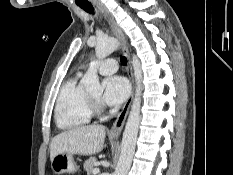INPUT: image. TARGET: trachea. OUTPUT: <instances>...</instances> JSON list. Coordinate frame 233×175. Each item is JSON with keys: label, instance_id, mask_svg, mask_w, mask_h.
Segmentation results:
<instances>
[{"label": "trachea", "instance_id": "trachea-1", "mask_svg": "<svg viewBox=\"0 0 233 175\" xmlns=\"http://www.w3.org/2000/svg\"><path fill=\"white\" fill-rule=\"evenodd\" d=\"M79 7L82 8L83 10H85L86 12L90 13V14L94 13V8H93V6L90 3H88V4H81V5H79ZM120 61H121V63L123 65L127 64V58L125 56H123L120 59Z\"/></svg>", "mask_w": 233, "mask_h": 175}]
</instances>
